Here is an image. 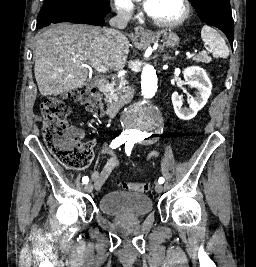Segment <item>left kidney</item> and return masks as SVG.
<instances>
[{
    "label": "left kidney",
    "instance_id": "left-kidney-1",
    "mask_svg": "<svg viewBox=\"0 0 256 267\" xmlns=\"http://www.w3.org/2000/svg\"><path fill=\"white\" fill-rule=\"evenodd\" d=\"M183 76L186 84L190 88H196V98H191L189 110H183L181 96L178 92H173L171 96L174 112L180 120H192L197 112L204 108L212 90V84L203 68L199 66H190L183 70Z\"/></svg>",
    "mask_w": 256,
    "mask_h": 267
}]
</instances>
